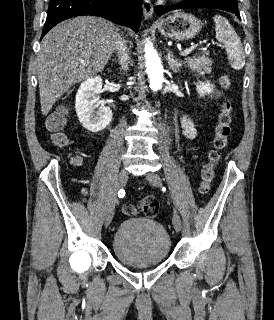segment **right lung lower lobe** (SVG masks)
<instances>
[{"label":"right lung lower lobe","instance_id":"1","mask_svg":"<svg viewBox=\"0 0 274 320\" xmlns=\"http://www.w3.org/2000/svg\"><path fill=\"white\" fill-rule=\"evenodd\" d=\"M141 14V0H50L41 39L61 21L81 15L100 16L138 32Z\"/></svg>","mask_w":274,"mask_h":320}]
</instances>
